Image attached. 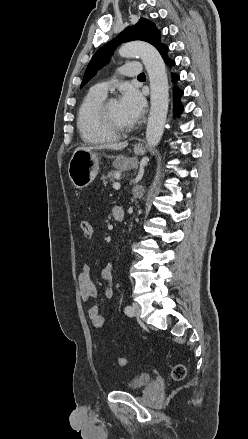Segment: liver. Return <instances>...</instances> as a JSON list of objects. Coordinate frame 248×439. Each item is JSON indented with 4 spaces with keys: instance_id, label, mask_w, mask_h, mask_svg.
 Masks as SVG:
<instances>
[{
    "instance_id": "1",
    "label": "liver",
    "mask_w": 248,
    "mask_h": 439,
    "mask_svg": "<svg viewBox=\"0 0 248 439\" xmlns=\"http://www.w3.org/2000/svg\"><path fill=\"white\" fill-rule=\"evenodd\" d=\"M128 146V142H115V143H106L103 145H97V146H82L76 148V150H97V149H111V150H122ZM75 150V151H76Z\"/></svg>"
}]
</instances>
